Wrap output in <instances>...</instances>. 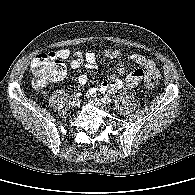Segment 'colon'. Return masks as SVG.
<instances>
[{"mask_svg": "<svg viewBox=\"0 0 195 195\" xmlns=\"http://www.w3.org/2000/svg\"><path fill=\"white\" fill-rule=\"evenodd\" d=\"M31 71L34 81L38 86H44L48 83L61 80L66 72L64 63L51 53H42L38 55L31 64ZM155 81H147L148 88L156 86Z\"/></svg>", "mask_w": 195, "mask_h": 195, "instance_id": "1", "label": "colon"}]
</instances>
